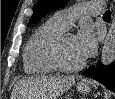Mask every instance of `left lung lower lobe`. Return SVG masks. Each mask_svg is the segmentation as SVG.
I'll list each match as a JSON object with an SVG mask.
<instances>
[{"instance_id":"obj_1","label":"left lung lower lobe","mask_w":115,"mask_h":99,"mask_svg":"<svg viewBox=\"0 0 115 99\" xmlns=\"http://www.w3.org/2000/svg\"><path fill=\"white\" fill-rule=\"evenodd\" d=\"M83 75L95 77L96 80L115 92V62L107 66L101 63H98L97 67L93 65L84 71Z\"/></svg>"}]
</instances>
